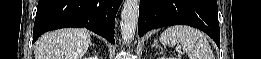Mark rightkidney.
<instances>
[{"label":"right kidney","mask_w":261,"mask_h":59,"mask_svg":"<svg viewBox=\"0 0 261 59\" xmlns=\"http://www.w3.org/2000/svg\"><path fill=\"white\" fill-rule=\"evenodd\" d=\"M90 59H97V57H95V58H94V57H91Z\"/></svg>","instance_id":"right-kidney-1"}]
</instances>
